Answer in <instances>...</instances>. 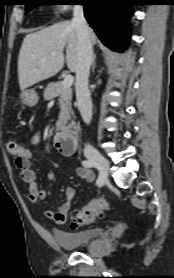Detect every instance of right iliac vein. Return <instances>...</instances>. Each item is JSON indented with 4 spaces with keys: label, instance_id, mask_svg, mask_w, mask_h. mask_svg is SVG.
I'll list each match as a JSON object with an SVG mask.
<instances>
[{
    "label": "right iliac vein",
    "instance_id": "obj_1",
    "mask_svg": "<svg viewBox=\"0 0 174 278\" xmlns=\"http://www.w3.org/2000/svg\"><path fill=\"white\" fill-rule=\"evenodd\" d=\"M87 158L91 161H94L95 163H97L100 168L102 169V171L104 172L105 175L108 174V170H109V163L106 160V158L101 155L98 151H91L87 154Z\"/></svg>",
    "mask_w": 174,
    "mask_h": 278
}]
</instances>
